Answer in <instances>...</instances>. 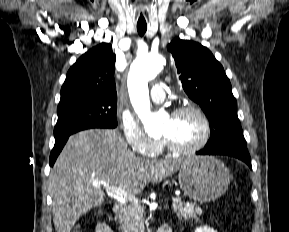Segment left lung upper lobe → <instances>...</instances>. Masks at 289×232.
I'll return each instance as SVG.
<instances>
[{"mask_svg": "<svg viewBox=\"0 0 289 232\" xmlns=\"http://www.w3.org/2000/svg\"><path fill=\"white\" fill-rule=\"evenodd\" d=\"M168 50L184 91L209 120L211 135L204 149L246 145L231 83L213 54L197 42L180 38L174 39Z\"/></svg>", "mask_w": 289, "mask_h": 232, "instance_id": "5c2ea615", "label": "left lung upper lobe"}]
</instances>
